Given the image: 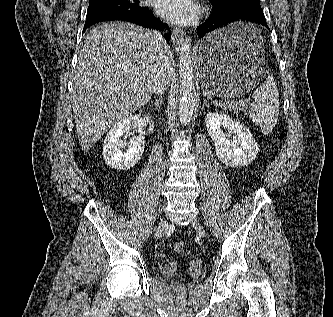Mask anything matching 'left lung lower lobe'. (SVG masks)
Returning <instances> with one entry per match:
<instances>
[{
	"label": "left lung lower lobe",
	"mask_w": 333,
	"mask_h": 317,
	"mask_svg": "<svg viewBox=\"0 0 333 317\" xmlns=\"http://www.w3.org/2000/svg\"><path fill=\"white\" fill-rule=\"evenodd\" d=\"M238 21L254 22L270 30L260 4L237 6L213 5L208 19L197 28V34L201 38L213 30Z\"/></svg>",
	"instance_id": "left-lung-lower-lobe-1"
}]
</instances>
